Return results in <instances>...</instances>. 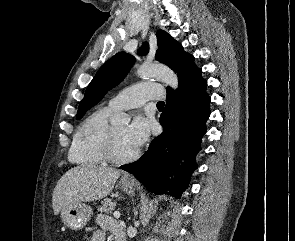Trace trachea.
<instances>
[{"mask_svg": "<svg viewBox=\"0 0 295 241\" xmlns=\"http://www.w3.org/2000/svg\"><path fill=\"white\" fill-rule=\"evenodd\" d=\"M157 107H164V102L163 101L158 102Z\"/></svg>", "mask_w": 295, "mask_h": 241, "instance_id": "trachea-1", "label": "trachea"}]
</instances>
